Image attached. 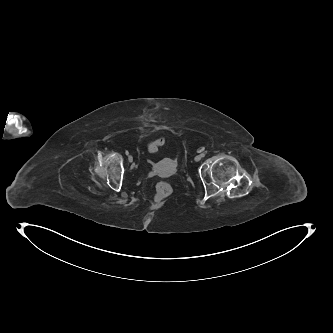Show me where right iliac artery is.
<instances>
[{"mask_svg": "<svg viewBox=\"0 0 333 333\" xmlns=\"http://www.w3.org/2000/svg\"><path fill=\"white\" fill-rule=\"evenodd\" d=\"M125 154H126V155H128V154H129V152L126 150V151H125Z\"/></svg>", "mask_w": 333, "mask_h": 333, "instance_id": "right-iliac-artery-1", "label": "right iliac artery"}]
</instances>
